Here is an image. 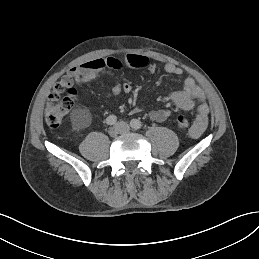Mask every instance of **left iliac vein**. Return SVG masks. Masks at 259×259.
<instances>
[{
  "mask_svg": "<svg viewBox=\"0 0 259 259\" xmlns=\"http://www.w3.org/2000/svg\"><path fill=\"white\" fill-rule=\"evenodd\" d=\"M116 126L119 128L121 134L130 132V126L126 122H118Z\"/></svg>",
  "mask_w": 259,
  "mask_h": 259,
  "instance_id": "1",
  "label": "left iliac vein"
}]
</instances>
